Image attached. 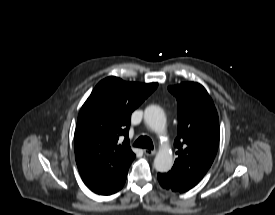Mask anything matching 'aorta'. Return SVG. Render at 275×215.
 <instances>
[{
	"label": "aorta",
	"mask_w": 275,
	"mask_h": 215,
	"mask_svg": "<svg viewBox=\"0 0 275 215\" xmlns=\"http://www.w3.org/2000/svg\"><path fill=\"white\" fill-rule=\"evenodd\" d=\"M145 123L156 133L162 134L166 130V117L162 108L150 105L144 112ZM173 166L172 154L167 149H160L154 159V168L158 172H168Z\"/></svg>",
	"instance_id": "762f6f07"
}]
</instances>
